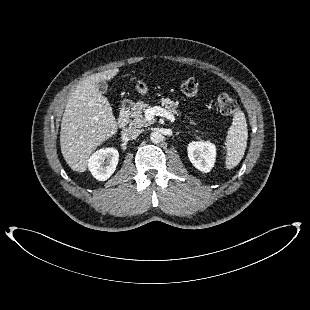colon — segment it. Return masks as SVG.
Returning a JSON list of instances; mask_svg holds the SVG:
<instances>
[{
	"label": "colon",
	"mask_w": 310,
	"mask_h": 310,
	"mask_svg": "<svg viewBox=\"0 0 310 310\" xmlns=\"http://www.w3.org/2000/svg\"><path fill=\"white\" fill-rule=\"evenodd\" d=\"M181 91L186 96H194L198 92V82L195 78H188L181 84ZM215 103L219 111L225 115L229 116L233 114L239 103L233 97L227 93H220L215 97Z\"/></svg>",
	"instance_id": "1"
}]
</instances>
